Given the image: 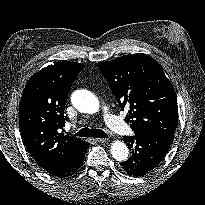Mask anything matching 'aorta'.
I'll list each match as a JSON object with an SVG mask.
<instances>
[{
	"mask_svg": "<svg viewBox=\"0 0 205 205\" xmlns=\"http://www.w3.org/2000/svg\"><path fill=\"white\" fill-rule=\"evenodd\" d=\"M71 103L78 111L86 114H94L99 111L100 104L97 97L90 91L80 89L73 92ZM111 154L117 161H125L129 150L124 142L114 141L111 145Z\"/></svg>",
	"mask_w": 205,
	"mask_h": 205,
	"instance_id": "obj_1",
	"label": "aorta"
}]
</instances>
